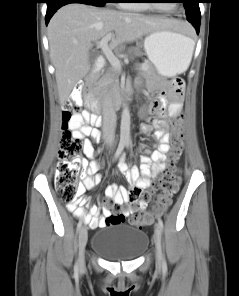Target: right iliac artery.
<instances>
[{
  "label": "right iliac artery",
  "mask_w": 239,
  "mask_h": 296,
  "mask_svg": "<svg viewBox=\"0 0 239 296\" xmlns=\"http://www.w3.org/2000/svg\"><path fill=\"white\" fill-rule=\"evenodd\" d=\"M124 144H119L118 148H117V151L114 155V159L113 161L117 160V158L119 157V155L121 154V152L123 151L124 149ZM82 224H83V221L82 220H79V223H78V226H77V230L79 231L82 227ZM74 270L77 272L79 270V265H78V262H76L75 266H74Z\"/></svg>",
  "instance_id": "right-iliac-artery-1"
}]
</instances>
